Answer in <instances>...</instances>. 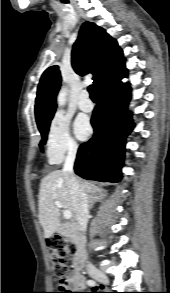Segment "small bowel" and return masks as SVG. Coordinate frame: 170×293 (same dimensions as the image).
<instances>
[{
    "label": "small bowel",
    "mask_w": 170,
    "mask_h": 293,
    "mask_svg": "<svg viewBox=\"0 0 170 293\" xmlns=\"http://www.w3.org/2000/svg\"><path fill=\"white\" fill-rule=\"evenodd\" d=\"M69 280L71 281L73 288H75V289H84L85 288L84 279L77 271H73L70 274Z\"/></svg>",
    "instance_id": "small-bowel-1"
}]
</instances>
